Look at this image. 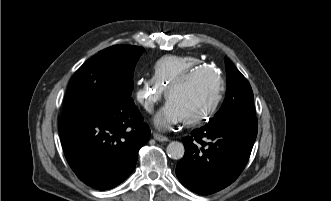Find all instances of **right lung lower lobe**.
I'll return each instance as SVG.
<instances>
[{"instance_id": "right-lung-lower-lobe-1", "label": "right lung lower lobe", "mask_w": 331, "mask_h": 201, "mask_svg": "<svg viewBox=\"0 0 331 201\" xmlns=\"http://www.w3.org/2000/svg\"><path fill=\"white\" fill-rule=\"evenodd\" d=\"M59 132L65 157L88 186L111 189L134 170L150 129L130 97L62 115Z\"/></svg>"}]
</instances>
